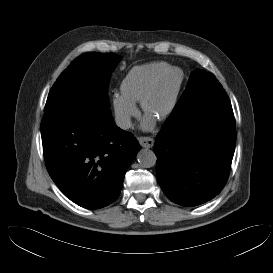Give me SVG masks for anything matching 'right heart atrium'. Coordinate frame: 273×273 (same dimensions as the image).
Here are the masks:
<instances>
[{
    "label": "right heart atrium",
    "instance_id": "obj_1",
    "mask_svg": "<svg viewBox=\"0 0 273 273\" xmlns=\"http://www.w3.org/2000/svg\"><path fill=\"white\" fill-rule=\"evenodd\" d=\"M112 105L115 118L123 127L129 126L131 119L138 114L136 105L126 100L122 95H114Z\"/></svg>",
    "mask_w": 273,
    "mask_h": 273
}]
</instances>
